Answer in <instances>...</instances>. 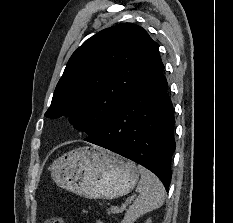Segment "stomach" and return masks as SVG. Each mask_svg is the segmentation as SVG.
<instances>
[{
  "label": "stomach",
  "instance_id": "obj_1",
  "mask_svg": "<svg viewBox=\"0 0 233 223\" xmlns=\"http://www.w3.org/2000/svg\"><path fill=\"white\" fill-rule=\"evenodd\" d=\"M51 177L88 199H113L132 191L139 179L134 161L101 147L71 149L52 163Z\"/></svg>",
  "mask_w": 233,
  "mask_h": 223
}]
</instances>
